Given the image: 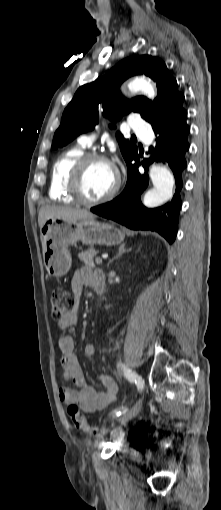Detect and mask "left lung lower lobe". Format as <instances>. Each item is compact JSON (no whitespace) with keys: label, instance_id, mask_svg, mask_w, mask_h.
<instances>
[{"label":"left lung lower lobe","instance_id":"obj_1","mask_svg":"<svg viewBox=\"0 0 221 510\" xmlns=\"http://www.w3.org/2000/svg\"><path fill=\"white\" fill-rule=\"evenodd\" d=\"M186 116L187 112L152 126L157 136L156 145L149 150L150 158L142 161L145 173H139L140 160L137 154L127 163L128 179L124 191L111 202L91 208L93 213L133 230L156 231L169 243L174 242L181 208L179 192L183 186L182 171L187 166L185 153L189 149L187 137L190 127L186 124ZM154 161L165 163L171 168L176 190L171 202L148 209L141 204L140 196L148 186V166Z\"/></svg>","mask_w":221,"mask_h":510}]
</instances>
